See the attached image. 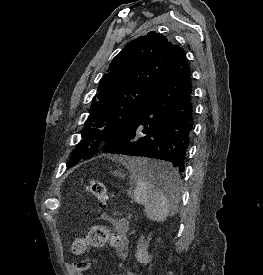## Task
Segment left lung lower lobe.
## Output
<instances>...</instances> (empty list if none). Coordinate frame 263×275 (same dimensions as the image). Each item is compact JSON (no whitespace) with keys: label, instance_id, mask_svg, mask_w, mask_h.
I'll return each instance as SVG.
<instances>
[{"label":"left lung lower lobe","instance_id":"left-lung-lower-lobe-1","mask_svg":"<svg viewBox=\"0 0 263 275\" xmlns=\"http://www.w3.org/2000/svg\"><path fill=\"white\" fill-rule=\"evenodd\" d=\"M194 96L184 51L177 49L163 81L128 128L103 146L104 153L160 159L169 170L146 169L149 180L171 194L185 161L194 124Z\"/></svg>","mask_w":263,"mask_h":275}]
</instances>
